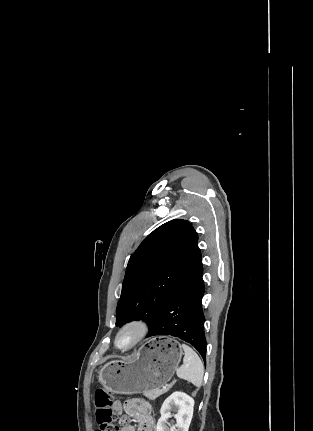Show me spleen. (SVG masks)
Masks as SVG:
<instances>
[{
	"instance_id": "1",
	"label": "spleen",
	"mask_w": 313,
	"mask_h": 431,
	"mask_svg": "<svg viewBox=\"0 0 313 431\" xmlns=\"http://www.w3.org/2000/svg\"><path fill=\"white\" fill-rule=\"evenodd\" d=\"M185 356L183 365L177 370V376L200 387L203 383L204 366L197 353L188 345L182 344Z\"/></svg>"
}]
</instances>
